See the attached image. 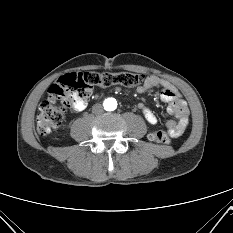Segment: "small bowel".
Here are the masks:
<instances>
[{
	"label": "small bowel",
	"instance_id": "obj_1",
	"mask_svg": "<svg viewBox=\"0 0 233 233\" xmlns=\"http://www.w3.org/2000/svg\"><path fill=\"white\" fill-rule=\"evenodd\" d=\"M155 88L161 89V99L168 103L167 111L172 116L166 122L169 135L172 137L182 135L190 123V114L186 102L182 99L179 91L169 81L155 75L148 76L145 83L137 89V92L144 94ZM87 106V101H80L74 106V109L76 111H83ZM137 107L142 111L144 118L149 124H157L158 118L153 111L143 103H139Z\"/></svg>",
	"mask_w": 233,
	"mask_h": 233
}]
</instances>
